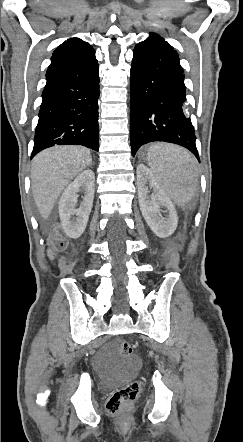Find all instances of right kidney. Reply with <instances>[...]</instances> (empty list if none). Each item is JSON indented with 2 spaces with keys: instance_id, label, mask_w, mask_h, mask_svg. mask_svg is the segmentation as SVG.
<instances>
[{
  "instance_id": "obj_1",
  "label": "right kidney",
  "mask_w": 243,
  "mask_h": 442,
  "mask_svg": "<svg viewBox=\"0 0 243 442\" xmlns=\"http://www.w3.org/2000/svg\"><path fill=\"white\" fill-rule=\"evenodd\" d=\"M94 172L90 169L81 172L64 190L59 201V215L65 233L71 238H79L88 223L94 199ZM84 192L83 202L78 209L75 205L78 191Z\"/></svg>"
}]
</instances>
